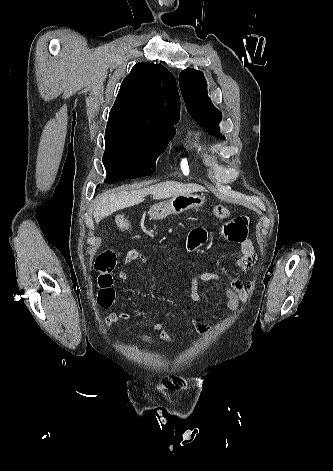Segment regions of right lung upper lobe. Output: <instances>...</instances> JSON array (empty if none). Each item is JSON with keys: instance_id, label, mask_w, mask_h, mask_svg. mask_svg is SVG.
Masks as SVG:
<instances>
[{"instance_id": "cb5924a9", "label": "right lung upper lobe", "mask_w": 333, "mask_h": 471, "mask_svg": "<svg viewBox=\"0 0 333 471\" xmlns=\"http://www.w3.org/2000/svg\"><path fill=\"white\" fill-rule=\"evenodd\" d=\"M174 76L161 64L137 63L124 78L108 122L157 126L168 131L179 121Z\"/></svg>"}]
</instances>
